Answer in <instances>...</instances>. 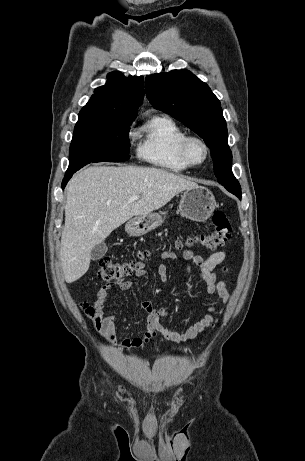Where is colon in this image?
Instances as JSON below:
<instances>
[{"instance_id": "colon-1", "label": "colon", "mask_w": 305, "mask_h": 461, "mask_svg": "<svg viewBox=\"0 0 305 461\" xmlns=\"http://www.w3.org/2000/svg\"><path fill=\"white\" fill-rule=\"evenodd\" d=\"M214 229L208 234H199L187 238L184 241H177L176 247L182 250L184 247H191L199 244L207 249L214 250L223 246L231 236V223L227 215L222 211H216L212 216ZM146 253L138 254L137 261H114L109 257L102 258L99 263L98 277L105 281H120L136 270L138 265L144 261ZM85 314L94 319L96 310L93 306H83Z\"/></svg>"}]
</instances>
